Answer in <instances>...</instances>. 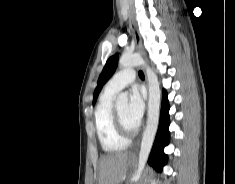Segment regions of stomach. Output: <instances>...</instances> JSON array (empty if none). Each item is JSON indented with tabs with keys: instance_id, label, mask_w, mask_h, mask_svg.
Here are the masks:
<instances>
[{
	"instance_id": "0dacf381",
	"label": "stomach",
	"mask_w": 235,
	"mask_h": 184,
	"mask_svg": "<svg viewBox=\"0 0 235 184\" xmlns=\"http://www.w3.org/2000/svg\"><path fill=\"white\" fill-rule=\"evenodd\" d=\"M134 158H135V156H131V154H130V156H129V158H128V164H129V166H132V164H133V162H134Z\"/></svg>"
}]
</instances>
